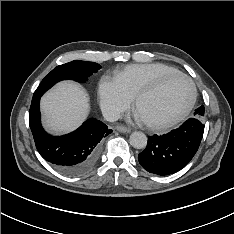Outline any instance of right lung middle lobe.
Listing matches in <instances>:
<instances>
[{
    "label": "right lung middle lobe",
    "instance_id": "right-lung-middle-lobe-1",
    "mask_svg": "<svg viewBox=\"0 0 234 234\" xmlns=\"http://www.w3.org/2000/svg\"><path fill=\"white\" fill-rule=\"evenodd\" d=\"M101 66L94 62L75 60L54 68L44 77L36 91L33 99L41 97L49 88L61 80H74L85 82L89 76L96 73Z\"/></svg>",
    "mask_w": 234,
    "mask_h": 234
}]
</instances>
